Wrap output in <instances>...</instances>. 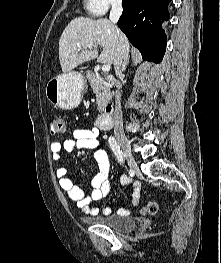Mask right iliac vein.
I'll list each match as a JSON object with an SVG mask.
<instances>
[{"mask_svg": "<svg viewBox=\"0 0 221 263\" xmlns=\"http://www.w3.org/2000/svg\"><path fill=\"white\" fill-rule=\"evenodd\" d=\"M117 142H118L119 146L121 147L130 167L132 169H136V162H135V159H134L133 154L131 152V148H130V145H129L127 138L123 135H118L117 136Z\"/></svg>", "mask_w": 221, "mask_h": 263, "instance_id": "right-iliac-vein-1", "label": "right iliac vein"}]
</instances>
